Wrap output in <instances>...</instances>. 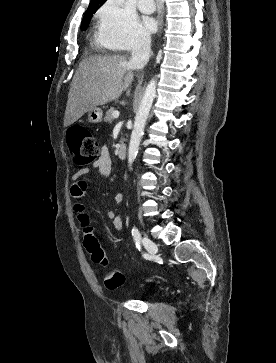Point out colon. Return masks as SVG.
<instances>
[{
	"label": "colon",
	"instance_id": "1",
	"mask_svg": "<svg viewBox=\"0 0 276 363\" xmlns=\"http://www.w3.org/2000/svg\"><path fill=\"white\" fill-rule=\"evenodd\" d=\"M67 146L72 161L77 166H86L95 162L99 157V144L95 137L84 127H71L66 134ZM84 221L86 217L83 216ZM84 246L91 260L103 267H108L106 251L101 247L95 234L89 233L84 237ZM125 283L124 275L115 268H109L104 275V285L110 290L118 289Z\"/></svg>",
	"mask_w": 276,
	"mask_h": 363
}]
</instances>
